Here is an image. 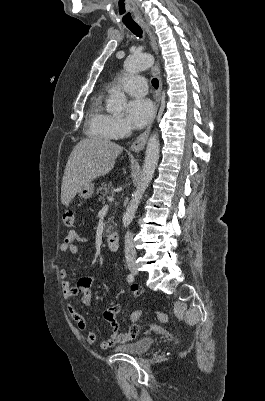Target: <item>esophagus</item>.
<instances>
[{
  "label": "esophagus",
  "mask_w": 265,
  "mask_h": 401,
  "mask_svg": "<svg viewBox=\"0 0 265 401\" xmlns=\"http://www.w3.org/2000/svg\"><path fill=\"white\" fill-rule=\"evenodd\" d=\"M139 23L148 33L152 50L156 56V63L153 65L151 71H152V74L158 79L159 87L156 90V96H155V102H154V112H153L152 118L149 121L146 130L140 136H138L137 140H135L134 143H132V145H131V150H133L135 152H139V151L143 150V148L146 145V141H147L148 135L150 133L151 126L157 115V111H158L160 99H161V91H162V79H161V74H160L159 56H158L159 52H158L157 39H156L155 35L152 33V31L150 30V27L143 20H140Z\"/></svg>",
  "instance_id": "34e87169"
}]
</instances>
